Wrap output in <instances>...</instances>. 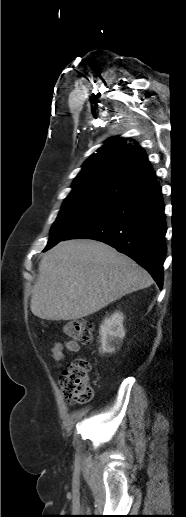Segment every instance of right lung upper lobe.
Listing matches in <instances>:
<instances>
[{
	"mask_svg": "<svg viewBox=\"0 0 186 517\" xmlns=\"http://www.w3.org/2000/svg\"><path fill=\"white\" fill-rule=\"evenodd\" d=\"M155 183V173L143 149L136 142L113 137L86 160L68 197L119 200Z\"/></svg>",
	"mask_w": 186,
	"mask_h": 517,
	"instance_id": "1",
	"label": "right lung upper lobe"
}]
</instances>
